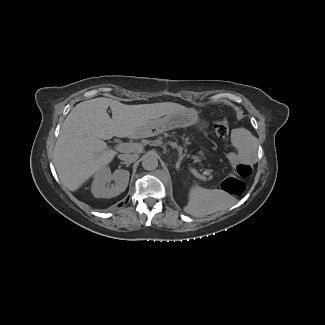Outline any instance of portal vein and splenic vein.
I'll return each mask as SVG.
<instances>
[{"label": "portal vein and splenic vein", "instance_id": "obj_1", "mask_svg": "<svg viewBox=\"0 0 325 325\" xmlns=\"http://www.w3.org/2000/svg\"><path fill=\"white\" fill-rule=\"evenodd\" d=\"M115 148L120 152H133L139 150L141 148V145L136 143H120L115 145ZM189 169L197 178L201 180H206V177L199 174L198 171L195 170L194 168L189 167Z\"/></svg>", "mask_w": 325, "mask_h": 325}]
</instances>
